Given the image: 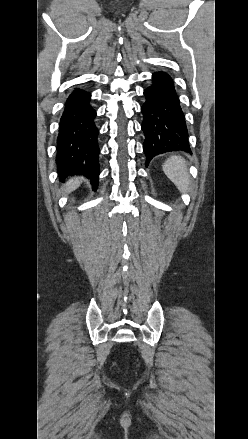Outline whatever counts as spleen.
I'll return each instance as SVG.
<instances>
[{"label": "spleen", "mask_w": 248, "mask_h": 439, "mask_svg": "<svg viewBox=\"0 0 248 439\" xmlns=\"http://www.w3.org/2000/svg\"><path fill=\"white\" fill-rule=\"evenodd\" d=\"M166 176L175 184L179 191H189L190 176L186 161L179 155H173L163 165Z\"/></svg>", "instance_id": "spleen-1"}]
</instances>
